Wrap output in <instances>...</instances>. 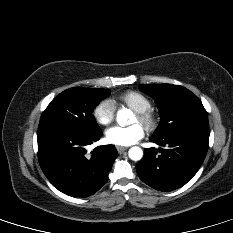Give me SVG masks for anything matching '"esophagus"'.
I'll return each instance as SVG.
<instances>
[{"label":"esophagus","mask_w":233,"mask_h":233,"mask_svg":"<svg viewBox=\"0 0 233 233\" xmlns=\"http://www.w3.org/2000/svg\"><path fill=\"white\" fill-rule=\"evenodd\" d=\"M116 149H117L118 153H122V152L126 151L128 148L123 147V146H116Z\"/></svg>","instance_id":"obj_1"}]
</instances>
